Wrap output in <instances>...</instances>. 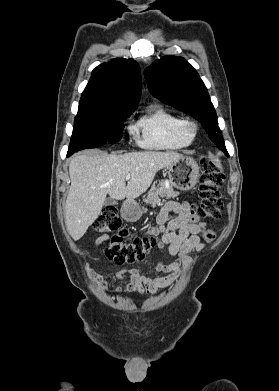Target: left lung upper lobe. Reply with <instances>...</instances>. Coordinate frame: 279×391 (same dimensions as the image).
I'll list each match as a JSON object with an SVG mask.
<instances>
[{
  "mask_svg": "<svg viewBox=\"0 0 279 391\" xmlns=\"http://www.w3.org/2000/svg\"><path fill=\"white\" fill-rule=\"evenodd\" d=\"M144 76L154 97L200 121L209 138L227 152L207 88L185 59L161 58L145 70Z\"/></svg>",
  "mask_w": 279,
  "mask_h": 391,
  "instance_id": "5c2ea615",
  "label": "left lung upper lobe"
}]
</instances>
